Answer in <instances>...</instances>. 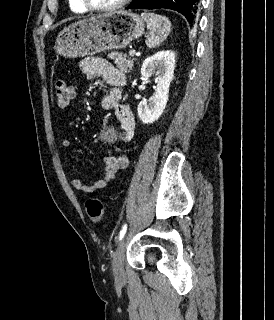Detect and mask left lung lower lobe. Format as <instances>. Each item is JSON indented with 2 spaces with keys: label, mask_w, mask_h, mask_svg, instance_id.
Returning a JSON list of instances; mask_svg holds the SVG:
<instances>
[{
  "label": "left lung lower lobe",
  "mask_w": 274,
  "mask_h": 320,
  "mask_svg": "<svg viewBox=\"0 0 274 320\" xmlns=\"http://www.w3.org/2000/svg\"><path fill=\"white\" fill-rule=\"evenodd\" d=\"M200 0H134L126 9L167 8L183 14L189 23L197 18Z\"/></svg>",
  "instance_id": "left-lung-lower-lobe-1"
}]
</instances>
